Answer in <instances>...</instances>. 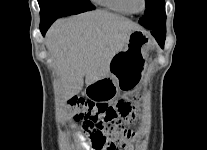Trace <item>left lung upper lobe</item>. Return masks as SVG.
<instances>
[{
	"mask_svg": "<svg viewBox=\"0 0 207 150\" xmlns=\"http://www.w3.org/2000/svg\"><path fill=\"white\" fill-rule=\"evenodd\" d=\"M146 10L139 23L149 30L166 29V14L164 0H145Z\"/></svg>",
	"mask_w": 207,
	"mask_h": 150,
	"instance_id": "obj_1",
	"label": "left lung upper lobe"
}]
</instances>
